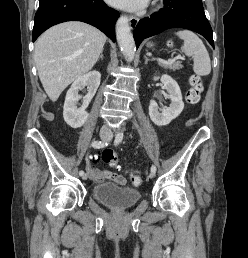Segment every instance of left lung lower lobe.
Listing matches in <instances>:
<instances>
[{
  "mask_svg": "<svg viewBox=\"0 0 248 258\" xmlns=\"http://www.w3.org/2000/svg\"><path fill=\"white\" fill-rule=\"evenodd\" d=\"M170 28H185L204 36L214 47L212 29L201 0H164V8L139 21L134 30L136 46L147 37Z\"/></svg>",
  "mask_w": 248,
  "mask_h": 258,
  "instance_id": "obj_1",
  "label": "left lung lower lobe"
}]
</instances>
